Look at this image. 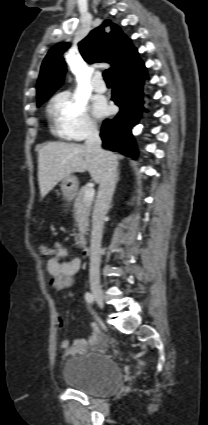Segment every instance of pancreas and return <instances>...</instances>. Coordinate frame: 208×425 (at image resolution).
Wrapping results in <instances>:
<instances>
[{
    "instance_id": "pancreas-1",
    "label": "pancreas",
    "mask_w": 208,
    "mask_h": 425,
    "mask_svg": "<svg viewBox=\"0 0 208 425\" xmlns=\"http://www.w3.org/2000/svg\"><path fill=\"white\" fill-rule=\"evenodd\" d=\"M88 186H84L79 191L73 208L74 224L78 228V234H75L76 246L83 247L85 245V236L88 234L89 215L92 207L93 199L85 200V192Z\"/></svg>"
}]
</instances>
